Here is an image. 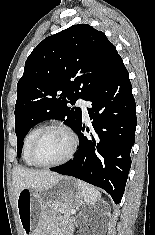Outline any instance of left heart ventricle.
<instances>
[{
    "label": "left heart ventricle",
    "instance_id": "obj_1",
    "mask_svg": "<svg viewBox=\"0 0 155 235\" xmlns=\"http://www.w3.org/2000/svg\"><path fill=\"white\" fill-rule=\"evenodd\" d=\"M69 150V137L60 130H52L38 143L35 158L41 163H53L63 159Z\"/></svg>",
    "mask_w": 155,
    "mask_h": 235
}]
</instances>
